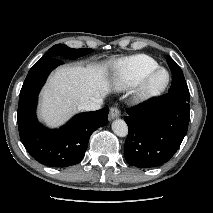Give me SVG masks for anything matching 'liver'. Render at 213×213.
I'll use <instances>...</instances> for the list:
<instances>
[{"instance_id":"obj_1","label":"liver","mask_w":213,"mask_h":213,"mask_svg":"<svg viewBox=\"0 0 213 213\" xmlns=\"http://www.w3.org/2000/svg\"><path fill=\"white\" fill-rule=\"evenodd\" d=\"M110 92L106 64L60 67L42 90L39 117L47 126L58 127L80 110L82 103L102 99Z\"/></svg>"}]
</instances>
